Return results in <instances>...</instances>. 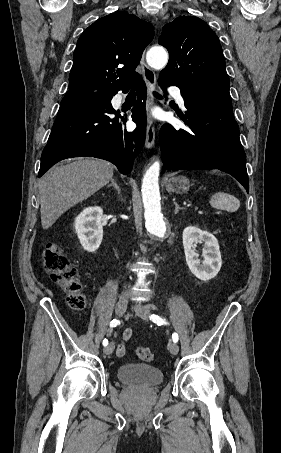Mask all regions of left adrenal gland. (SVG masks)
I'll use <instances>...</instances> for the list:
<instances>
[{"instance_id":"1","label":"left adrenal gland","mask_w":281,"mask_h":453,"mask_svg":"<svg viewBox=\"0 0 281 453\" xmlns=\"http://www.w3.org/2000/svg\"><path fill=\"white\" fill-rule=\"evenodd\" d=\"M174 204H175L174 212H175V214H177L178 210H180V206H179V204H177V202H174Z\"/></svg>"}]
</instances>
